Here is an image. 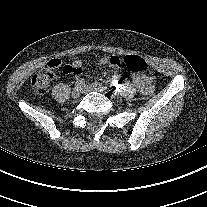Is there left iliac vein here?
<instances>
[{"mask_svg":"<svg viewBox=\"0 0 207 207\" xmlns=\"http://www.w3.org/2000/svg\"><path fill=\"white\" fill-rule=\"evenodd\" d=\"M90 91H98V92H101V93H105L106 92V89L99 88V87H96L94 85H84L82 87V92L83 93H88Z\"/></svg>","mask_w":207,"mask_h":207,"instance_id":"obj_1","label":"left iliac vein"}]
</instances>
